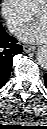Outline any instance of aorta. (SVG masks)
<instances>
[{
  "label": "aorta",
  "mask_w": 47,
  "mask_h": 129,
  "mask_svg": "<svg viewBox=\"0 0 47 129\" xmlns=\"http://www.w3.org/2000/svg\"><path fill=\"white\" fill-rule=\"evenodd\" d=\"M38 64L45 68L47 66V49L46 47H40L36 54Z\"/></svg>",
  "instance_id": "1"
}]
</instances>
